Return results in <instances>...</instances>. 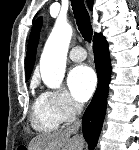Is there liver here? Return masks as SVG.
<instances>
[{
    "label": "liver",
    "instance_id": "liver-1",
    "mask_svg": "<svg viewBox=\"0 0 139 150\" xmlns=\"http://www.w3.org/2000/svg\"><path fill=\"white\" fill-rule=\"evenodd\" d=\"M71 134L64 130L38 135L30 142L28 150H83V138L71 137Z\"/></svg>",
    "mask_w": 139,
    "mask_h": 150
}]
</instances>
